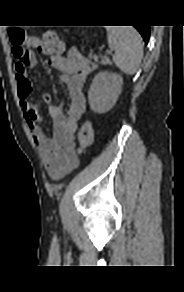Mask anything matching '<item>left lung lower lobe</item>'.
<instances>
[{
	"instance_id": "1",
	"label": "left lung lower lobe",
	"mask_w": 184,
	"mask_h": 292,
	"mask_svg": "<svg viewBox=\"0 0 184 292\" xmlns=\"http://www.w3.org/2000/svg\"><path fill=\"white\" fill-rule=\"evenodd\" d=\"M134 27L140 32L145 43L147 44L150 36V27L145 25H136Z\"/></svg>"
}]
</instances>
